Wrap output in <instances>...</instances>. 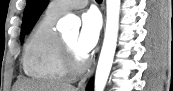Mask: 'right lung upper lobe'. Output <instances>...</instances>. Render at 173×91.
<instances>
[{"label": "right lung upper lobe", "instance_id": "1", "mask_svg": "<svg viewBox=\"0 0 173 91\" xmlns=\"http://www.w3.org/2000/svg\"><path fill=\"white\" fill-rule=\"evenodd\" d=\"M47 5V0H40L31 19L28 31H30L32 29V27L34 26V24L36 23V21L38 20L40 14L42 13V11L44 10V8Z\"/></svg>", "mask_w": 173, "mask_h": 91}]
</instances>
